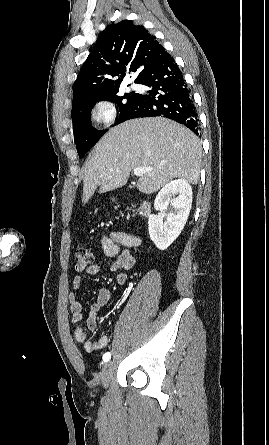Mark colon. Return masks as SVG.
Masks as SVG:
<instances>
[{"instance_id":"obj_1","label":"colon","mask_w":269,"mask_h":445,"mask_svg":"<svg viewBox=\"0 0 269 445\" xmlns=\"http://www.w3.org/2000/svg\"><path fill=\"white\" fill-rule=\"evenodd\" d=\"M94 262V254L87 248L80 247L75 251V268L84 271Z\"/></svg>"}]
</instances>
